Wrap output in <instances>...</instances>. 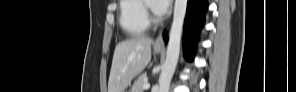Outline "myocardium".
I'll return each instance as SVG.
<instances>
[{"label":"myocardium","instance_id":"myocardium-1","mask_svg":"<svg viewBox=\"0 0 296 92\" xmlns=\"http://www.w3.org/2000/svg\"><path fill=\"white\" fill-rule=\"evenodd\" d=\"M151 2L150 1H145V10H146V19L148 24H155L159 21V19L155 16L152 15L151 12Z\"/></svg>","mask_w":296,"mask_h":92}]
</instances>
